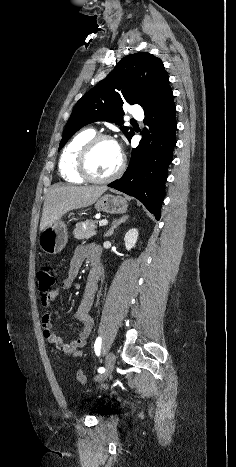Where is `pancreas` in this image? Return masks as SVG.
<instances>
[{
  "label": "pancreas",
  "instance_id": "1",
  "mask_svg": "<svg viewBox=\"0 0 236 467\" xmlns=\"http://www.w3.org/2000/svg\"><path fill=\"white\" fill-rule=\"evenodd\" d=\"M98 221L96 220H86L84 224L86 229L83 226V223H77L76 227L73 230V235L78 240L89 239L95 235V228Z\"/></svg>",
  "mask_w": 236,
  "mask_h": 467
}]
</instances>
